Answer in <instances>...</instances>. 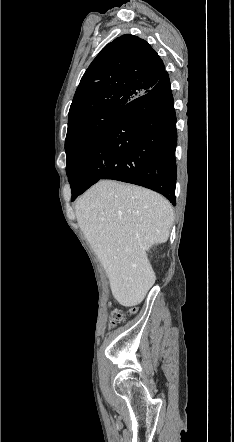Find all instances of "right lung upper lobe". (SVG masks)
<instances>
[{
	"instance_id": "right-lung-upper-lobe-1",
	"label": "right lung upper lobe",
	"mask_w": 234,
	"mask_h": 442,
	"mask_svg": "<svg viewBox=\"0 0 234 442\" xmlns=\"http://www.w3.org/2000/svg\"><path fill=\"white\" fill-rule=\"evenodd\" d=\"M164 73L163 61L145 40L134 35L116 38L83 75L68 123L103 109L121 108L153 88Z\"/></svg>"
}]
</instances>
